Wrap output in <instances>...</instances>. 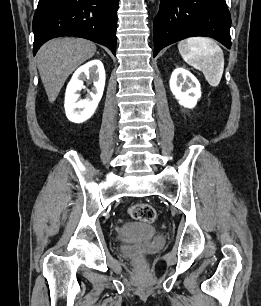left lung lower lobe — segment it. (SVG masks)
Masks as SVG:
<instances>
[{
    "label": "left lung lower lobe",
    "instance_id": "0a47b994",
    "mask_svg": "<svg viewBox=\"0 0 261 306\" xmlns=\"http://www.w3.org/2000/svg\"><path fill=\"white\" fill-rule=\"evenodd\" d=\"M231 15L225 0H160L153 23L154 57L164 47L193 36H208L228 49Z\"/></svg>",
    "mask_w": 261,
    "mask_h": 306
}]
</instances>
